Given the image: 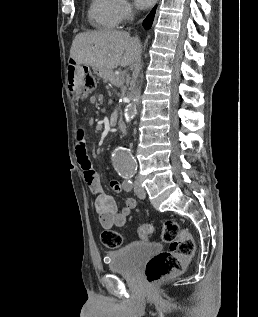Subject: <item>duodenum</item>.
I'll list each match as a JSON object with an SVG mask.
<instances>
[{
	"label": "duodenum",
	"mask_w": 258,
	"mask_h": 317,
	"mask_svg": "<svg viewBox=\"0 0 258 317\" xmlns=\"http://www.w3.org/2000/svg\"><path fill=\"white\" fill-rule=\"evenodd\" d=\"M66 81L69 91L77 94L82 86V71L75 65H69L66 72Z\"/></svg>",
	"instance_id": "1"
}]
</instances>
